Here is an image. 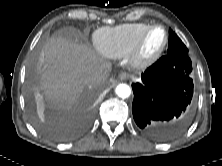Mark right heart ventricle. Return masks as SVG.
Here are the masks:
<instances>
[{
	"label": "right heart ventricle",
	"mask_w": 222,
	"mask_h": 166,
	"mask_svg": "<svg viewBox=\"0 0 222 166\" xmlns=\"http://www.w3.org/2000/svg\"><path fill=\"white\" fill-rule=\"evenodd\" d=\"M148 26V23L138 22L101 28L94 34L95 46L100 53L110 58L127 56L141 32Z\"/></svg>",
	"instance_id": "right-heart-ventricle-1"
}]
</instances>
